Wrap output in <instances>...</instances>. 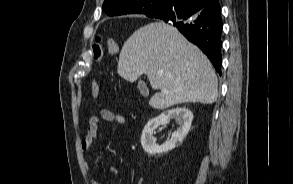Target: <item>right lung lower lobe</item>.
<instances>
[{"label": "right lung lower lobe", "mask_w": 293, "mask_h": 184, "mask_svg": "<svg viewBox=\"0 0 293 184\" xmlns=\"http://www.w3.org/2000/svg\"><path fill=\"white\" fill-rule=\"evenodd\" d=\"M153 18L175 26L189 41L196 44L221 75L222 19L219 2L204 7L196 0H178Z\"/></svg>", "instance_id": "right-lung-lower-lobe-1"}]
</instances>
